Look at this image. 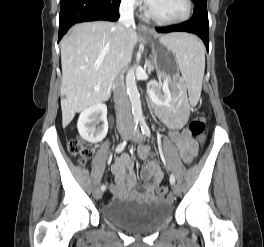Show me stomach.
<instances>
[{
    "label": "stomach",
    "mask_w": 264,
    "mask_h": 247,
    "mask_svg": "<svg viewBox=\"0 0 264 247\" xmlns=\"http://www.w3.org/2000/svg\"><path fill=\"white\" fill-rule=\"evenodd\" d=\"M170 38L163 36L159 39L160 44H151L152 58L155 68L157 72L162 73V75L177 74V71L174 70V68H177V63H171L176 62V57H174V53H170V48L168 46Z\"/></svg>",
    "instance_id": "1"
}]
</instances>
